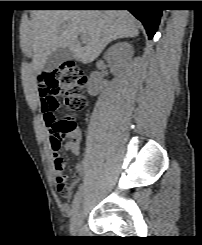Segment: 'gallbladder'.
Returning a JSON list of instances; mask_svg holds the SVG:
<instances>
[{
    "mask_svg": "<svg viewBox=\"0 0 202 245\" xmlns=\"http://www.w3.org/2000/svg\"><path fill=\"white\" fill-rule=\"evenodd\" d=\"M73 58L74 54L71 50L67 48H58L48 56L44 64V71L50 72L58 68L62 63Z\"/></svg>",
    "mask_w": 202,
    "mask_h": 245,
    "instance_id": "obj_1",
    "label": "gallbladder"
}]
</instances>
